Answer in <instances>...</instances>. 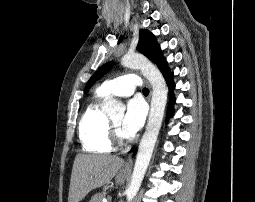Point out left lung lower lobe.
<instances>
[{
	"label": "left lung lower lobe",
	"mask_w": 255,
	"mask_h": 202,
	"mask_svg": "<svg viewBox=\"0 0 255 202\" xmlns=\"http://www.w3.org/2000/svg\"><path fill=\"white\" fill-rule=\"evenodd\" d=\"M166 82L167 85L169 87L170 90V104H169V117H171L173 115V104L175 102V97L173 95V90L175 88V84L173 82V74L171 76H169L168 78H166Z\"/></svg>",
	"instance_id": "1"
}]
</instances>
